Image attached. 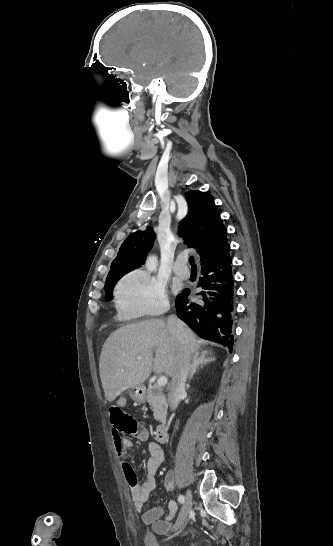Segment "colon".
<instances>
[{
  "instance_id": "colon-1",
  "label": "colon",
  "mask_w": 333,
  "mask_h": 546,
  "mask_svg": "<svg viewBox=\"0 0 333 546\" xmlns=\"http://www.w3.org/2000/svg\"><path fill=\"white\" fill-rule=\"evenodd\" d=\"M109 416L115 421L118 429L116 432L131 434L134 426L127 420L122 413V406L119 401L114 400L109 406Z\"/></svg>"
}]
</instances>
